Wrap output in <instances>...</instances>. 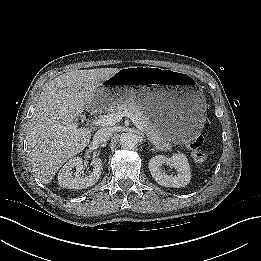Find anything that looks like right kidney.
Here are the masks:
<instances>
[{
	"label": "right kidney",
	"mask_w": 261,
	"mask_h": 261,
	"mask_svg": "<svg viewBox=\"0 0 261 261\" xmlns=\"http://www.w3.org/2000/svg\"><path fill=\"white\" fill-rule=\"evenodd\" d=\"M93 171L84 176L83 159L75 157L70 159L59 171L58 183L67 189H84L93 186L101 175L102 161L96 158L92 161ZM76 168L73 173L72 169Z\"/></svg>",
	"instance_id": "obj_1"
}]
</instances>
